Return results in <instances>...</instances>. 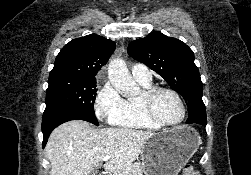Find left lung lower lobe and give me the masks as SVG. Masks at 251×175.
I'll return each instance as SVG.
<instances>
[{
	"mask_svg": "<svg viewBox=\"0 0 251 175\" xmlns=\"http://www.w3.org/2000/svg\"><path fill=\"white\" fill-rule=\"evenodd\" d=\"M189 117L187 123L206 124V111L203 105H188Z\"/></svg>",
	"mask_w": 251,
	"mask_h": 175,
	"instance_id": "obj_1",
	"label": "left lung lower lobe"
}]
</instances>
